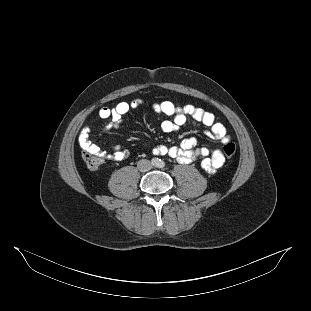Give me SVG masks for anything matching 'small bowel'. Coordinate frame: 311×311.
I'll return each instance as SVG.
<instances>
[{
  "instance_id": "1",
  "label": "small bowel",
  "mask_w": 311,
  "mask_h": 311,
  "mask_svg": "<svg viewBox=\"0 0 311 311\" xmlns=\"http://www.w3.org/2000/svg\"><path fill=\"white\" fill-rule=\"evenodd\" d=\"M142 102L134 100L131 102H120L114 107H102L97 114L99 119H109L110 121L100 130L101 133L110 131L113 128H118L122 124V118L130 110L137 108ZM154 110L172 119L165 120L161 124V129L165 133H171L182 127L188 117L203 123L208 127L206 134L223 144L230 141L226 128L220 122H217L215 116L211 112H207L195 105L177 106L171 101H162L154 105ZM91 129L86 126L82 129L79 135V143L83 150L100 151L97 144L89 140ZM196 140L194 138H187L182 141L179 147H168L160 145L155 147L152 152L156 155H169L176 158L179 162L187 164L201 158V167L210 173L215 172L225 162V157L221 150L216 149L210 151L207 148H195ZM128 156V152L122 150L119 146L112 147V158L115 160H123Z\"/></svg>"
}]
</instances>
